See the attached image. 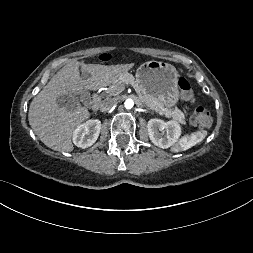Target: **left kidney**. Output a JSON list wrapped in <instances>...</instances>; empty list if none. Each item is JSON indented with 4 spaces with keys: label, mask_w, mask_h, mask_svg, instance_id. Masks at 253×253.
Listing matches in <instances>:
<instances>
[{
    "label": "left kidney",
    "mask_w": 253,
    "mask_h": 253,
    "mask_svg": "<svg viewBox=\"0 0 253 253\" xmlns=\"http://www.w3.org/2000/svg\"><path fill=\"white\" fill-rule=\"evenodd\" d=\"M152 143L162 149L173 146L181 135V127L177 121L164 122L161 119H150L147 124Z\"/></svg>",
    "instance_id": "1"
}]
</instances>
